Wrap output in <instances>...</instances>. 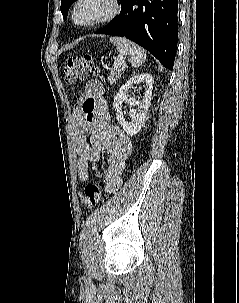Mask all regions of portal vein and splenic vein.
<instances>
[{
    "label": "portal vein and splenic vein",
    "instance_id": "18ae733b",
    "mask_svg": "<svg viewBox=\"0 0 239 303\" xmlns=\"http://www.w3.org/2000/svg\"><path fill=\"white\" fill-rule=\"evenodd\" d=\"M119 64H120L119 62H115V63H114V66H117V65H119Z\"/></svg>",
    "mask_w": 239,
    "mask_h": 303
}]
</instances>
